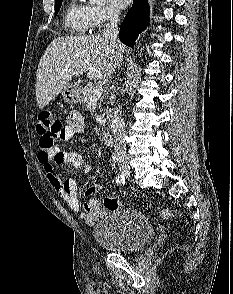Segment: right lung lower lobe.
Masks as SVG:
<instances>
[{"label":"right lung lower lobe","instance_id":"1","mask_svg":"<svg viewBox=\"0 0 233 294\" xmlns=\"http://www.w3.org/2000/svg\"><path fill=\"white\" fill-rule=\"evenodd\" d=\"M149 25V4L147 0H133L132 8L126 14L120 28V40L133 47L139 33Z\"/></svg>","mask_w":233,"mask_h":294}]
</instances>
